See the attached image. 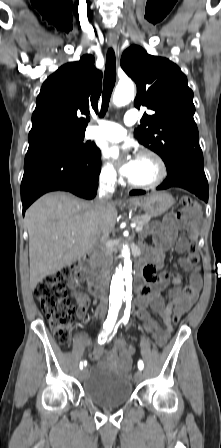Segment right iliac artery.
<instances>
[{"mask_svg": "<svg viewBox=\"0 0 221 448\" xmlns=\"http://www.w3.org/2000/svg\"><path fill=\"white\" fill-rule=\"evenodd\" d=\"M116 319H117V317L109 316L108 319L104 322V324H103L104 330L101 332V334L99 335V338H98L99 343H104L106 341V336L109 333H111L115 327ZM119 323L116 325L115 330H116L117 326L119 325ZM86 364H87L86 362H81L80 369H83V367L86 366Z\"/></svg>", "mask_w": 221, "mask_h": 448, "instance_id": "right-iliac-artery-1", "label": "right iliac artery"}]
</instances>
